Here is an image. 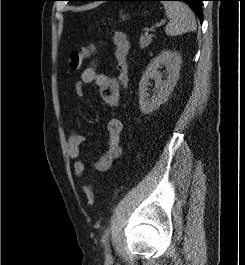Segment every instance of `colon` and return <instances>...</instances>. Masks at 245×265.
Returning a JSON list of instances; mask_svg holds the SVG:
<instances>
[{
	"label": "colon",
	"instance_id": "5ec220e1",
	"mask_svg": "<svg viewBox=\"0 0 245 265\" xmlns=\"http://www.w3.org/2000/svg\"><path fill=\"white\" fill-rule=\"evenodd\" d=\"M112 40L115 45V59L120 71L118 81L122 87H126L128 83L129 42L126 34L121 31L115 32ZM100 44L101 43H94L87 47L72 51L69 54V67L73 71L79 70L83 61L95 54ZM84 193L88 204L92 206L95 201L94 190L90 186H86L84 188Z\"/></svg>",
	"mask_w": 245,
	"mask_h": 265
}]
</instances>
